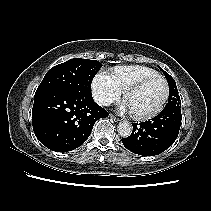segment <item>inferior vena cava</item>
I'll use <instances>...</instances> for the list:
<instances>
[{
    "instance_id": "inferior-vena-cava-1",
    "label": "inferior vena cava",
    "mask_w": 211,
    "mask_h": 211,
    "mask_svg": "<svg viewBox=\"0 0 211 211\" xmlns=\"http://www.w3.org/2000/svg\"><path fill=\"white\" fill-rule=\"evenodd\" d=\"M96 102L101 106H109L112 103V99L106 97H99L96 98Z\"/></svg>"
}]
</instances>
